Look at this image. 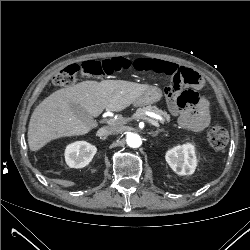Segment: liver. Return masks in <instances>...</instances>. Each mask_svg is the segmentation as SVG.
I'll list each match as a JSON object with an SVG mask.
<instances>
[{
  "label": "liver",
  "mask_w": 250,
  "mask_h": 250,
  "mask_svg": "<svg viewBox=\"0 0 250 250\" xmlns=\"http://www.w3.org/2000/svg\"><path fill=\"white\" fill-rule=\"evenodd\" d=\"M148 84L124 80L83 81L59 89L46 97L33 111L28 127V144L37 151L50 141L69 136L84 135L95 125L104 109L119 112L133 104L147 89ZM71 104L80 105L88 113V121L78 118Z\"/></svg>",
  "instance_id": "liver-1"
}]
</instances>
